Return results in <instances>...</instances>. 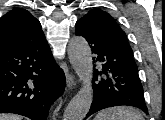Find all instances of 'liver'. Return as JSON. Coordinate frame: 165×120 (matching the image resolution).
Returning a JSON list of instances; mask_svg holds the SVG:
<instances>
[{"label":"liver","instance_id":"6515ba94","mask_svg":"<svg viewBox=\"0 0 165 120\" xmlns=\"http://www.w3.org/2000/svg\"><path fill=\"white\" fill-rule=\"evenodd\" d=\"M0 120H22V117L18 115L0 114Z\"/></svg>","mask_w":165,"mask_h":120}]
</instances>
